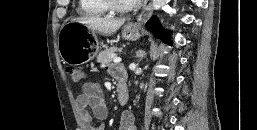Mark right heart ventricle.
<instances>
[{
    "label": "right heart ventricle",
    "mask_w": 257,
    "mask_h": 130,
    "mask_svg": "<svg viewBox=\"0 0 257 130\" xmlns=\"http://www.w3.org/2000/svg\"><path fill=\"white\" fill-rule=\"evenodd\" d=\"M78 12L87 16H100L108 12L101 0H79Z\"/></svg>",
    "instance_id": "1"
}]
</instances>
